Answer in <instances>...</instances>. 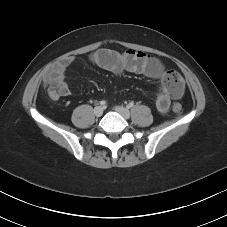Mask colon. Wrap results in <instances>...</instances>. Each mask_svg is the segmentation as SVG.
<instances>
[{
  "mask_svg": "<svg viewBox=\"0 0 227 227\" xmlns=\"http://www.w3.org/2000/svg\"><path fill=\"white\" fill-rule=\"evenodd\" d=\"M167 78L168 79H173V80H179L181 77L178 73H176L175 71H168L167 72ZM172 110L175 114H182L183 113V110H184V107L181 103L179 102H175L173 103L172 105Z\"/></svg>",
  "mask_w": 227,
  "mask_h": 227,
  "instance_id": "obj_1",
  "label": "colon"
}]
</instances>
